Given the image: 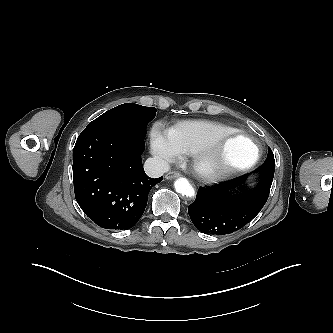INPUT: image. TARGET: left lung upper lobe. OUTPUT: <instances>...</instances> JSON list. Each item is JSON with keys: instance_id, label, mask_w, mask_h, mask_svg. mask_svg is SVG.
<instances>
[{"instance_id": "1", "label": "left lung upper lobe", "mask_w": 333, "mask_h": 333, "mask_svg": "<svg viewBox=\"0 0 333 333\" xmlns=\"http://www.w3.org/2000/svg\"><path fill=\"white\" fill-rule=\"evenodd\" d=\"M262 167L273 168V169L275 168V159L272 150L270 148L268 149L267 159L263 163Z\"/></svg>"}]
</instances>
